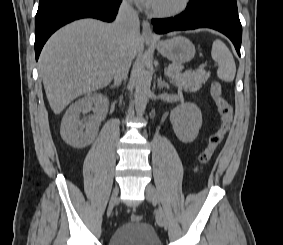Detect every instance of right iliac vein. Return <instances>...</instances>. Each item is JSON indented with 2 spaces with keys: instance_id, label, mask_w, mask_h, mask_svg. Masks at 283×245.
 <instances>
[{
  "instance_id": "63e3f726",
  "label": "right iliac vein",
  "mask_w": 283,
  "mask_h": 245,
  "mask_svg": "<svg viewBox=\"0 0 283 245\" xmlns=\"http://www.w3.org/2000/svg\"><path fill=\"white\" fill-rule=\"evenodd\" d=\"M118 194H119V189H118V187H115L112 191L110 201H109V205H108V209H107V215L108 216L112 213V210L117 203Z\"/></svg>"
}]
</instances>
